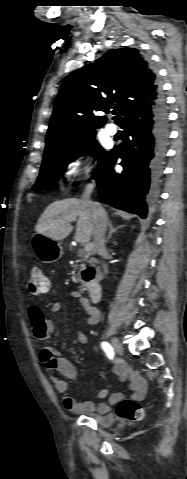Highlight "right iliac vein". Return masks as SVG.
<instances>
[{
  "label": "right iliac vein",
  "mask_w": 187,
  "mask_h": 479,
  "mask_svg": "<svg viewBox=\"0 0 187 479\" xmlns=\"http://www.w3.org/2000/svg\"><path fill=\"white\" fill-rule=\"evenodd\" d=\"M112 347L113 349L115 350V352L117 353H123V346L121 345V343L119 342V340L117 338H112Z\"/></svg>",
  "instance_id": "1"
}]
</instances>
